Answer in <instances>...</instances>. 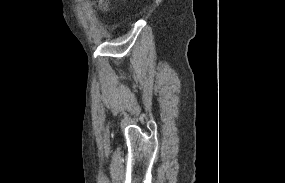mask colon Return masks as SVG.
Instances as JSON below:
<instances>
[{
	"label": "colon",
	"instance_id": "1",
	"mask_svg": "<svg viewBox=\"0 0 285 183\" xmlns=\"http://www.w3.org/2000/svg\"><path fill=\"white\" fill-rule=\"evenodd\" d=\"M97 6L100 10H105L107 7V0H97Z\"/></svg>",
	"mask_w": 285,
	"mask_h": 183
}]
</instances>
